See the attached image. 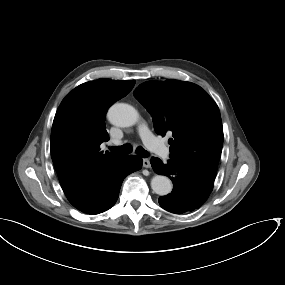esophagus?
I'll return each mask as SVG.
<instances>
[{"label": "esophagus", "instance_id": "esophagus-1", "mask_svg": "<svg viewBox=\"0 0 285 285\" xmlns=\"http://www.w3.org/2000/svg\"><path fill=\"white\" fill-rule=\"evenodd\" d=\"M151 166L150 160L148 158L143 159V167L149 168Z\"/></svg>", "mask_w": 285, "mask_h": 285}]
</instances>
